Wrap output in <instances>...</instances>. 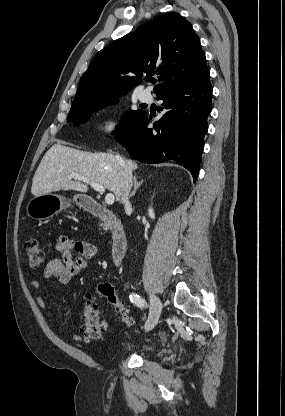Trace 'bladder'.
Segmentation results:
<instances>
[{"label": "bladder", "mask_w": 285, "mask_h": 416, "mask_svg": "<svg viewBox=\"0 0 285 416\" xmlns=\"http://www.w3.org/2000/svg\"><path fill=\"white\" fill-rule=\"evenodd\" d=\"M160 346L156 342H151L148 340H127L124 341L118 348V354H127V353H156L158 352Z\"/></svg>", "instance_id": "bladder-1"}]
</instances>
